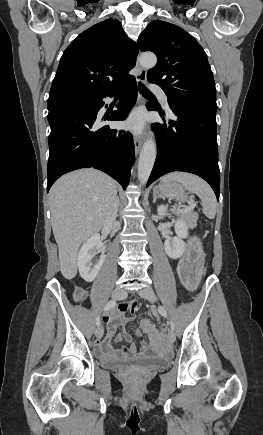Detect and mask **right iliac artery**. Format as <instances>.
<instances>
[{
    "label": "right iliac artery",
    "instance_id": "82829eb1",
    "mask_svg": "<svg viewBox=\"0 0 263 435\" xmlns=\"http://www.w3.org/2000/svg\"><path fill=\"white\" fill-rule=\"evenodd\" d=\"M115 304H116V301H115V300H110V301L105 305V307H104V311L106 312V311L110 310L111 308H113V307L115 306ZM100 324H101L100 317H98L97 320H96V325L99 327Z\"/></svg>",
    "mask_w": 263,
    "mask_h": 435
}]
</instances>
